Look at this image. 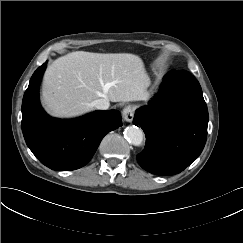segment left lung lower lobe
<instances>
[{"label": "left lung lower lobe", "instance_id": "1", "mask_svg": "<svg viewBox=\"0 0 243 243\" xmlns=\"http://www.w3.org/2000/svg\"><path fill=\"white\" fill-rule=\"evenodd\" d=\"M208 110L199 82L187 71H170L148 106L133 123L145 132L139 165L156 175L183 171L201 154L207 138Z\"/></svg>", "mask_w": 243, "mask_h": 243}]
</instances>
